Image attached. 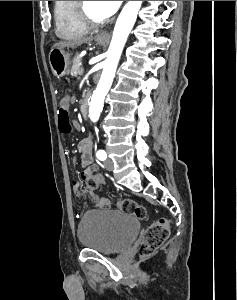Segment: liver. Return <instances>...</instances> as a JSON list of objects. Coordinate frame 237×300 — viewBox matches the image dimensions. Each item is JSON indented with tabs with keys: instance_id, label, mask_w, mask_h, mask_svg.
<instances>
[{
	"instance_id": "liver-1",
	"label": "liver",
	"mask_w": 237,
	"mask_h": 300,
	"mask_svg": "<svg viewBox=\"0 0 237 300\" xmlns=\"http://www.w3.org/2000/svg\"><path fill=\"white\" fill-rule=\"evenodd\" d=\"M89 41H93V37H83L80 41H76V43H67V41H60V43H55L53 45V49H64V47H79L82 43H89Z\"/></svg>"
}]
</instances>
